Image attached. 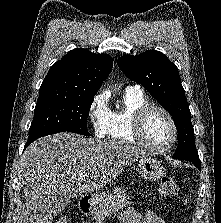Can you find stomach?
<instances>
[{
  "label": "stomach",
  "mask_w": 221,
  "mask_h": 223,
  "mask_svg": "<svg viewBox=\"0 0 221 223\" xmlns=\"http://www.w3.org/2000/svg\"><path fill=\"white\" fill-rule=\"evenodd\" d=\"M138 172L142 178L148 181H155L160 179L164 173V167L161 163L151 157L147 156L144 158H140L138 161ZM109 193H101L94 195L90 202V211L91 213H95L103 204L104 200L109 196Z\"/></svg>",
  "instance_id": "1"
}]
</instances>
